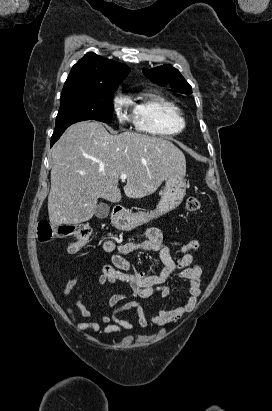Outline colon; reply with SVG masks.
Returning a JSON list of instances; mask_svg holds the SVG:
<instances>
[{
	"label": "colon",
	"mask_w": 272,
	"mask_h": 411,
	"mask_svg": "<svg viewBox=\"0 0 272 411\" xmlns=\"http://www.w3.org/2000/svg\"><path fill=\"white\" fill-rule=\"evenodd\" d=\"M201 203L197 197H189L186 201V209L195 213L199 211ZM92 228L85 223H69L53 225L47 221H40L37 228V236L40 242L47 243L54 239L74 238L67 250L75 253L80 250L90 239Z\"/></svg>",
	"instance_id": "colon-1"
}]
</instances>
